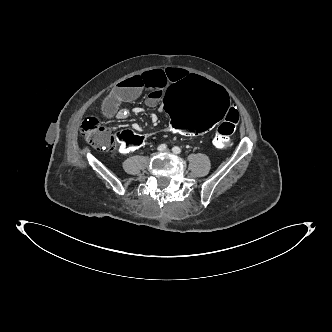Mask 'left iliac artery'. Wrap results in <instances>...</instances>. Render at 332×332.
<instances>
[{"label":"left iliac artery","mask_w":332,"mask_h":332,"mask_svg":"<svg viewBox=\"0 0 332 332\" xmlns=\"http://www.w3.org/2000/svg\"><path fill=\"white\" fill-rule=\"evenodd\" d=\"M172 151H173V153H175V154H180L182 151H181V149L178 147V146H174L173 148H172Z\"/></svg>","instance_id":"obj_1"}]
</instances>
